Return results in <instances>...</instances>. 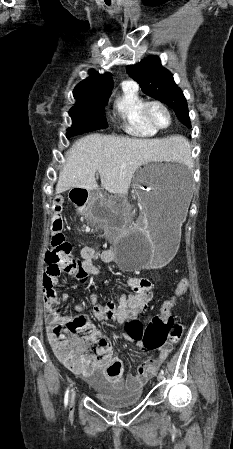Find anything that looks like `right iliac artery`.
<instances>
[{
  "mask_svg": "<svg viewBox=\"0 0 233 449\" xmlns=\"http://www.w3.org/2000/svg\"><path fill=\"white\" fill-rule=\"evenodd\" d=\"M68 396H69V388H67L64 396V405L65 407L68 405Z\"/></svg>",
  "mask_w": 233,
  "mask_h": 449,
  "instance_id": "obj_1",
  "label": "right iliac artery"
}]
</instances>
